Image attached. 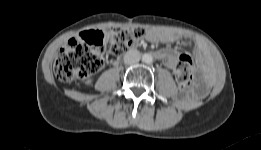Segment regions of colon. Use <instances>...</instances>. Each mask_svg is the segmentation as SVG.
I'll list each match as a JSON object with an SVG mask.
<instances>
[{"mask_svg":"<svg viewBox=\"0 0 261 150\" xmlns=\"http://www.w3.org/2000/svg\"><path fill=\"white\" fill-rule=\"evenodd\" d=\"M146 30L139 26H119L106 31H88L72 38L59 52L54 73L60 81L86 78L98 71L107 52L120 56L135 47ZM178 83L182 86L192 80V60L186 54H179L166 60Z\"/></svg>","mask_w":261,"mask_h":150,"instance_id":"5ec220e1","label":"colon"}]
</instances>
